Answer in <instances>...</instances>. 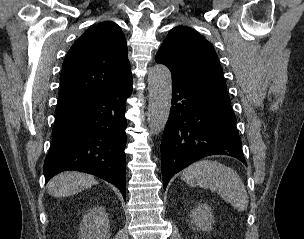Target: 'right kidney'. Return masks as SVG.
<instances>
[{
    "label": "right kidney",
    "mask_w": 304,
    "mask_h": 239,
    "mask_svg": "<svg viewBox=\"0 0 304 239\" xmlns=\"http://www.w3.org/2000/svg\"><path fill=\"white\" fill-rule=\"evenodd\" d=\"M109 220L102 207L89 209L79 227V239H109Z\"/></svg>",
    "instance_id": "ca27d5eb"
}]
</instances>
